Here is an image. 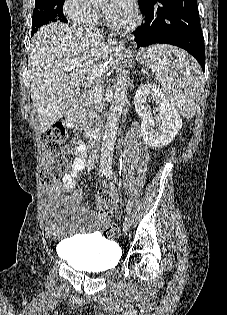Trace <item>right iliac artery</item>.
Listing matches in <instances>:
<instances>
[{
	"label": "right iliac artery",
	"instance_id": "obj_1",
	"mask_svg": "<svg viewBox=\"0 0 227 315\" xmlns=\"http://www.w3.org/2000/svg\"><path fill=\"white\" fill-rule=\"evenodd\" d=\"M105 171L104 170H101V171H99V176H104L105 175Z\"/></svg>",
	"mask_w": 227,
	"mask_h": 315
}]
</instances>
